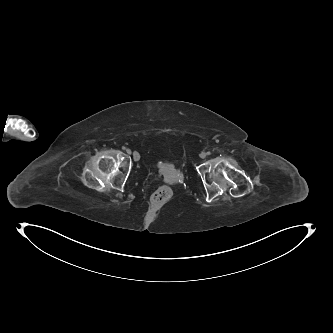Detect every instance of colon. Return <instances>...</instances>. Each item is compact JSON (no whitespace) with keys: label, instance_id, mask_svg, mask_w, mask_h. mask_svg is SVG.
Here are the masks:
<instances>
[{"label":"colon","instance_id":"1","mask_svg":"<svg viewBox=\"0 0 333 333\" xmlns=\"http://www.w3.org/2000/svg\"><path fill=\"white\" fill-rule=\"evenodd\" d=\"M173 196V191L169 186L159 187L151 196L150 203L152 207L159 209L167 204Z\"/></svg>","mask_w":333,"mask_h":333}]
</instances>
